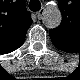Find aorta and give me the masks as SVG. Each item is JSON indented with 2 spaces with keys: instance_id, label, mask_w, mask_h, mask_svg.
<instances>
[{
  "instance_id": "762f6f07",
  "label": "aorta",
  "mask_w": 80,
  "mask_h": 80,
  "mask_svg": "<svg viewBox=\"0 0 80 80\" xmlns=\"http://www.w3.org/2000/svg\"><path fill=\"white\" fill-rule=\"evenodd\" d=\"M62 15L58 8L49 9L44 22L48 27L55 28L58 27L61 23Z\"/></svg>"
}]
</instances>
